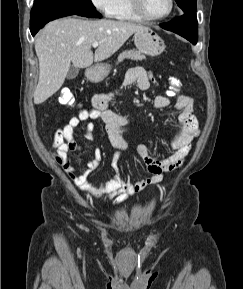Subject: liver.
Masks as SVG:
<instances>
[{
    "label": "liver",
    "instance_id": "liver-1",
    "mask_svg": "<svg viewBox=\"0 0 243 289\" xmlns=\"http://www.w3.org/2000/svg\"><path fill=\"white\" fill-rule=\"evenodd\" d=\"M146 27L110 19L61 18L48 23L35 40L39 80L34 103L41 104L63 85L71 63L87 68L111 57L137 31ZM99 42L95 53L92 43Z\"/></svg>",
    "mask_w": 243,
    "mask_h": 289
}]
</instances>
